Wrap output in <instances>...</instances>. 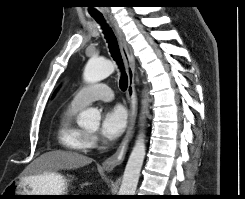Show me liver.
Listing matches in <instances>:
<instances>
[{"instance_id":"liver-1","label":"liver","mask_w":245,"mask_h":199,"mask_svg":"<svg viewBox=\"0 0 245 199\" xmlns=\"http://www.w3.org/2000/svg\"><path fill=\"white\" fill-rule=\"evenodd\" d=\"M92 162V158L82 154L63 150H54L42 154L31 166L29 170L32 177L44 172L70 170L83 167Z\"/></svg>"}]
</instances>
